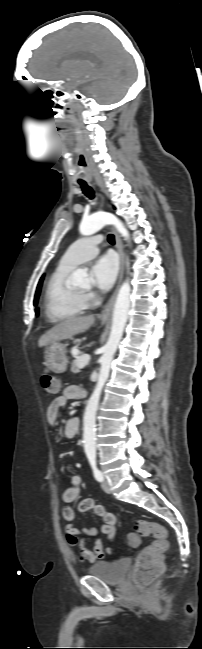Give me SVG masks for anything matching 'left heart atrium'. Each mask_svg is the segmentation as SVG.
<instances>
[{
  "label": "left heart atrium",
  "mask_w": 202,
  "mask_h": 649,
  "mask_svg": "<svg viewBox=\"0 0 202 649\" xmlns=\"http://www.w3.org/2000/svg\"><path fill=\"white\" fill-rule=\"evenodd\" d=\"M118 273V261L113 254L99 257L91 267V277L94 285L106 291L112 287Z\"/></svg>",
  "instance_id": "39dd6f15"
}]
</instances>
